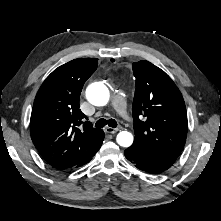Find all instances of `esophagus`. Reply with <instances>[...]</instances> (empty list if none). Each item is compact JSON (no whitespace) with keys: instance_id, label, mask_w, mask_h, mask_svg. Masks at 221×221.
I'll return each instance as SVG.
<instances>
[{"instance_id":"esophagus-1","label":"esophagus","mask_w":221,"mask_h":221,"mask_svg":"<svg viewBox=\"0 0 221 221\" xmlns=\"http://www.w3.org/2000/svg\"><path fill=\"white\" fill-rule=\"evenodd\" d=\"M119 130L120 129H118V128H112V127H106L104 129V131L109 134H114V133L118 132Z\"/></svg>"}]
</instances>
